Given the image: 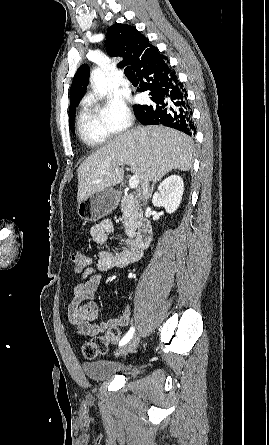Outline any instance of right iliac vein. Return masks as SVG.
Masks as SVG:
<instances>
[{
  "label": "right iliac vein",
  "instance_id": "right-iliac-vein-1",
  "mask_svg": "<svg viewBox=\"0 0 269 445\" xmlns=\"http://www.w3.org/2000/svg\"><path fill=\"white\" fill-rule=\"evenodd\" d=\"M139 343V336H134L130 341H128L119 351L120 355H127L131 353Z\"/></svg>",
  "mask_w": 269,
  "mask_h": 445
}]
</instances>
